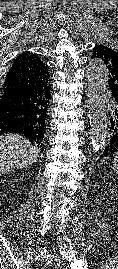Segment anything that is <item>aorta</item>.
Returning <instances> with one entry per match:
<instances>
[{
	"instance_id": "aorta-1",
	"label": "aorta",
	"mask_w": 118,
	"mask_h": 269,
	"mask_svg": "<svg viewBox=\"0 0 118 269\" xmlns=\"http://www.w3.org/2000/svg\"><path fill=\"white\" fill-rule=\"evenodd\" d=\"M87 78L91 144L95 151H101L108 135L105 95L108 74L101 59L89 62Z\"/></svg>"
}]
</instances>
